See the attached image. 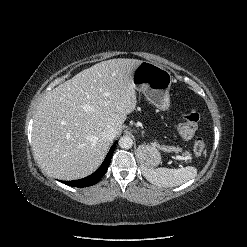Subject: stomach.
Wrapping results in <instances>:
<instances>
[{
    "instance_id": "0dacf381",
    "label": "stomach",
    "mask_w": 247,
    "mask_h": 247,
    "mask_svg": "<svg viewBox=\"0 0 247 247\" xmlns=\"http://www.w3.org/2000/svg\"><path fill=\"white\" fill-rule=\"evenodd\" d=\"M132 82L155 107L164 111L169 109L172 76L168 70L156 63L142 61L133 72ZM137 156L147 168L156 167L161 162V154L154 145L139 146Z\"/></svg>"
}]
</instances>
